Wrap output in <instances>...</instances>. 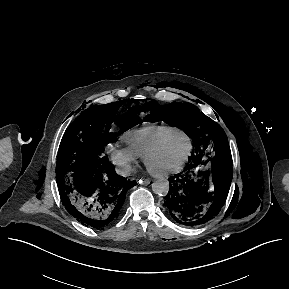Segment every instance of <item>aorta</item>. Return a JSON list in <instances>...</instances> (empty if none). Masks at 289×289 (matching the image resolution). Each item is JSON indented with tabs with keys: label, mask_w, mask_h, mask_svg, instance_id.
<instances>
[{
	"label": "aorta",
	"mask_w": 289,
	"mask_h": 289,
	"mask_svg": "<svg viewBox=\"0 0 289 289\" xmlns=\"http://www.w3.org/2000/svg\"><path fill=\"white\" fill-rule=\"evenodd\" d=\"M152 190L159 196H166L169 192V182L167 179H159L152 183Z\"/></svg>",
	"instance_id": "762f6f07"
}]
</instances>
